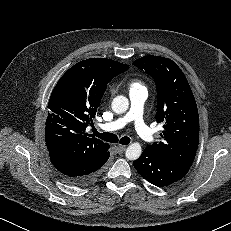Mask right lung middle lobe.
Wrapping results in <instances>:
<instances>
[{
  "label": "right lung middle lobe",
  "instance_id": "dd1d6c3e",
  "mask_svg": "<svg viewBox=\"0 0 231 231\" xmlns=\"http://www.w3.org/2000/svg\"><path fill=\"white\" fill-rule=\"evenodd\" d=\"M67 88H68V85L64 83L61 85L60 90L65 91L67 90Z\"/></svg>",
  "mask_w": 231,
  "mask_h": 231
}]
</instances>
